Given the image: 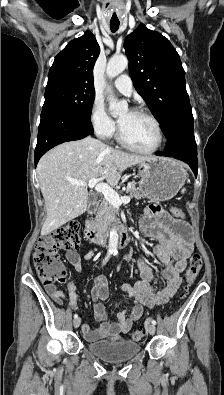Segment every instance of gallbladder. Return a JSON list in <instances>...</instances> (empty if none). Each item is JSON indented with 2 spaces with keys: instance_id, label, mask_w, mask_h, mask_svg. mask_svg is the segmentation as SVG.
Segmentation results:
<instances>
[{
  "instance_id": "gallbladder-1",
  "label": "gallbladder",
  "mask_w": 224,
  "mask_h": 395,
  "mask_svg": "<svg viewBox=\"0 0 224 395\" xmlns=\"http://www.w3.org/2000/svg\"><path fill=\"white\" fill-rule=\"evenodd\" d=\"M92 201H93V197H92V196H89L88 202L90 203V202H92Z\"/></svg>"
}]
</instances>
